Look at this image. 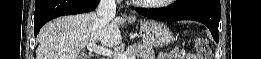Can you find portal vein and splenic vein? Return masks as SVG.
<instances>
[{"label": "portal vein and splenic vein", "mask_w": 261, "mask_h": 59, "mask_svg": "<svg viewBox=\"0 0 261 59\" xmlns=\"http://www.w3.org/2000/svg\"><path fill=\"white\" fill-rule=\"evenodd\" d=\"M87 49L91 52L96 53V54L110 57L111 59H136L135 56L128 58L125 54H120V53L115 54V53L112 52V50H110L108 48L101 47V46H97L94 43L88 44Z\"/></svg>", "instance_id": "portal-vein-and-splenic-vein-1"}]
</instances>
